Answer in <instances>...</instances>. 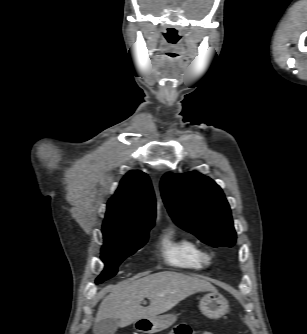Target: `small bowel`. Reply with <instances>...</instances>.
Returning <instances> with one entry per match:
<instances>
[{
    "label": "small bowel",
    "mask_w": 307,
    "mask_h": 334,
    "mask_svg": "<svg viewBox=\"0 0 307 334\" xmlns=\"http://www.w3.org/2000/svg\"><path fill=\"white\" fill-rule=\"evenodd\" d=\"M172 334H213V333L207 330L195 332L187 327H178Z\"/></svg>",
    "instance_id": "obj_1"
}]
</instances>
